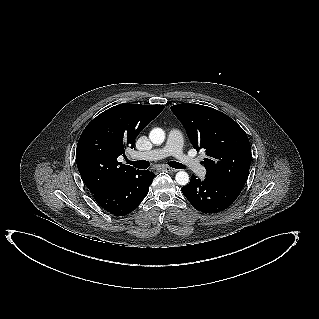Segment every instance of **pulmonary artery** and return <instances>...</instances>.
Listing matches in <instances>:
<instances>
[{"label": "pulmonary artery", "instance_id": "e3ab8cb5", "mask_svg": "<svg viewBox=\"0 0 319 319\" xmlns=\"http://www.w3.org/2000/svg\"><path fill=\"white\" fill-rule=\"evenodd\" d=\"M167 156H174L178 163L199 176L206 174L205 168L199 161L183 151V137L179 130L174 129L170 131L164 147L140 154V157L147 160H158Z\"/></svg>", "mask_w": 319, "mask_h": 319}]
</instances>
